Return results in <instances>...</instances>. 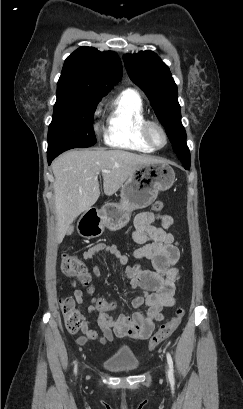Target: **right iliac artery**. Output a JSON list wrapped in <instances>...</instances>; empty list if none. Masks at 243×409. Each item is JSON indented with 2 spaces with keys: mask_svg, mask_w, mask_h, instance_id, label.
<instances>
[{
  "mask_svg": "<svg viewBox=\"0 0 243 409\" xmlns=\"http://www.w3.org/2000/svg\"><path fill=\"white\" fill-rule=\"evenodd\" d=\"M74 373L75 374L77 373V363H75V366H74Z\"/></svg>",
  "mask_w": 243,
  "mask_h": 409,
  "instance_id": "1",
  "label": "right iliac artery"
}]
</instances>
